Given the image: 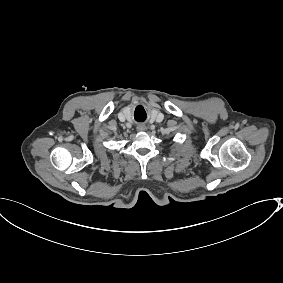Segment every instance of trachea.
Masks as SVG:
<instances>
[{"label":"trachea","instance_id":"trachea-1","mask_svg":"<svg viewBox=\"0 0 283 283\" xmlns=\"http://www.w3.org/2000/svg\"><path fill=\"white\" fill-rule=\"evenodd\" d=\"M136 120H137V121H142L140 117H137Z\"/></svg>","mask_w":283,"mask_h":283}]
</instances>
